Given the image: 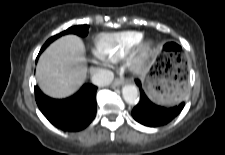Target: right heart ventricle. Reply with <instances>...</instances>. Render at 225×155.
<instances>
[{"label":"right heart ventricle","mask_w":225,"mask_h":155,"mask_svg":"<svg viewBox=\"0 0 225 155\" xmlns=\"http://www.w3.org/2000/svg\"><path fill=\"white\" fill-rule=\"evenodd\" d=\"M143 39V33L124 31L103 34L96 41V53L107 61H117L126 56Z\"/></svg>","instance_id":"obj_1"}]
</instances>
